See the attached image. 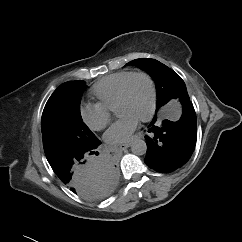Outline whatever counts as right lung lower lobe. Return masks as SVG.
<instances>
[{"label":"right lung lower lobe","instance_id":"1","mask_svg":"<svg viewBox=\"0 0 242 242\" xmlns=\"http://www.w3.org/2000/svg\"><path fill=\"white\" fill-rule=\"evenodd\" d=\"M100 144L98 140L90 149L57 156L49 162L59 179L72 192L88 200L106 198L112 193L118 180L113 161L107 158L89 159Z\"/></svg>","mask_w":242,"mask_h":242}]
</instances>
